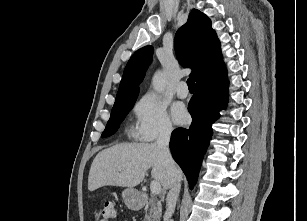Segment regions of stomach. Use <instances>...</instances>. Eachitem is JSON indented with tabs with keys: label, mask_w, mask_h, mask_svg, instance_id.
I'll return each mask as SVG.
<instances>
[{
	"label": "stomach",
	"mask_w": 307,
	"mask_h": 221,
	"mask_svg": "<svg viewBox=\"0 0 307 221\" xmlns=\"http://www.w3.org/2000/svg\"><path fill=\"white\" fill-rule=\"evenodd\" d=\"M122 198L129 208H137L140 205L139 193L134 188H127L122 192Z\"/></svg>",
	"instance_id": "1"
}]
</instances>
